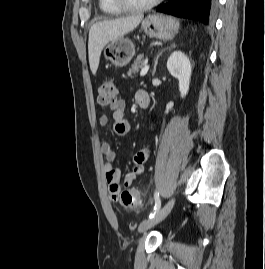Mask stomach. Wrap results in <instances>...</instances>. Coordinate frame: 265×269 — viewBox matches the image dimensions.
<instances>
[{
  "label": "stomach",
  "mask_w": 265,
  "mask_h": 269,
  "mask_svg": "<svg viewBox=\"0 0 265 269\" xmlns=\"http://www.w3.org/2000/svg\"><path fill=\"white\" fill-rule=\"evenodd\" d=\"M146 34L161 40L173 39L179 30L175 19L166 15H150L142 23ZM135 54L133 43L124 37L110 42L104 49V56L115 66L123 67L128 64Z\"/></svg>",
  "instance_id": "obj_1"
}]
</instances>
